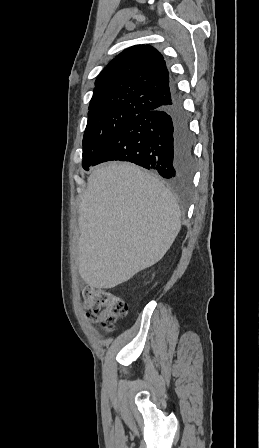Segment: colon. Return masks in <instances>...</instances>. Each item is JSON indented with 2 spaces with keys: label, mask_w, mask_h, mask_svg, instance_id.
Segmentation results:
<instances>
[{
  "label": "colon",
  "mask_w": 259,
  "mask_h": 448,
  "mask_svg": "<svg viewBox=\"0 0 259 448\" xmlns=\"http://www.w3.org/2000/svg\"><path fill=\"white\" fill-rule=\"evenodd\" d=\"M82 294L91 320L107 331L113 330L116 320L128 312L126 302L108 290L87 287Z\"/></svg>",
  "instance_id": "5ec220e1"
}]
</instances>
